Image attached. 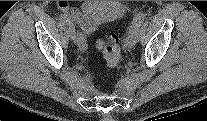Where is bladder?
Here are the masks:
<instances>
[{
    "instance_id": "1",
    "label": "bladder",
    "mask_w": 207,
    "mask_h": 121,
    "mask_svg": "<svg viewBox=\"0 0 207 121\" xmlns=\"http://www.w3.org/2000/svg\"><path fill=\"white\" fill-rule=\"evenodd\" d=\"M125 10V5L120 1H85L82 4L83 16L94 26L118 20Z\"/></svg>"
}]
</instances>
